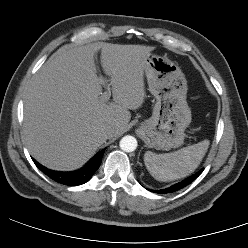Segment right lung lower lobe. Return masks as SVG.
I'll list each match as a JSON object with an SVG mask.
<instances>
[{
    "mask_svg": "<svg viewBox=\"0 0 248 248\" xmlns=\"http://www.w3.org/2000/svg\"><path fill=\"white\" fill-rule=\"evenodd\" d=\"M105 149L98 152L83 168L73 172H58L49 170L33 159L36 166L52 180L69 186L86 183L99 168Z\"/></svg>",
    "mask_w": 248,
    "mask_h": 248,
    "instance_id": "1",
    "label": "right lung lower lobe"
}]
</instances>
